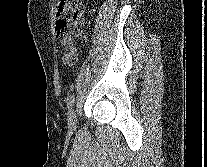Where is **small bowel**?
I'll return each instance as SVG.
<instances>
[{"mask_svg":"<svg viewBox=\"0 0 207 167\" xmlns=\"http://www.w3.org/2000/svg\"><path fill=\"white\" fill-rule=\"evenodd\" d=\"M63 46L65 48V53L63 55V63L68 67H73L77 62V52L74 46H69L65 42H63Z\"/></svg>","mask_w":207,"mask_h":167,"instance_id":"small-bowel-1","label":"small bowel"}]
</instances>
